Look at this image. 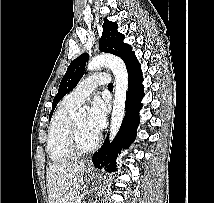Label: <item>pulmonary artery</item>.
I'll list each match as a JSON object with an SVG mask.
<instances>
[{"label":"pulmonary artery","mask_w":214,"mask_h":203,"mask_svg":"<svg viewBox=\"0 0 214 203\" xmlns=\"http://www.w3.org/2000/svg\"><path fill=\"white\" fill-rule=\"evenodd\" d=\"M109 76L106 73H96L81 81L68 95L70 102L80 105L99 86L107 85Z\"/></svg>","instance_id":"e3ab8cb5"}]
</instances>
